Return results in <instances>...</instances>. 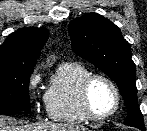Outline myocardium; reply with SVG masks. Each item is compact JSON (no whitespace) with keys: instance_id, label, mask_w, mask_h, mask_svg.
Wrapping results in <instances>:
<instances>
[{"instance_id":"1","label":"myocardium","mask_w":147,"mask_h":131,"mask_svg":"<svg viewBox=\"0 0 147 131\" xmlns=\"http://www.w3.org/2000/svg\"><path fill=\"white\" fill-rule=\"evenodd\" d=\"M97 79L104 80L106 83H108V85L111 87L115 95V106L109 113L105 115L95 114L90 105V99H89L90 88L92 83ZM80 104H81L82 111L84 115L88 118V120L97 121V122L105 121L111 118L112 116H114L119 110L121 106V94H120L118 86L109 76L102 73H93V74L91 73L89 76H87L83 80L81 84Z\"/></svg>"}]
</instances>
